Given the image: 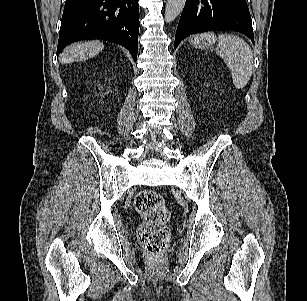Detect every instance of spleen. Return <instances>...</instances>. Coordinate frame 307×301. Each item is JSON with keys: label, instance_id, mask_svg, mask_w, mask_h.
<instances>
[{"label": "spleen", "instance_id": "spleen-1", "mask_svg": "<svg viewBox=\"0 0 307 301\" xmlns=\"http://www.w3.org/2000/svg\"><path fill=\"white\" fill-rule=\"evenodd\" d=\"M218 48L217 54L224 59L230 69L235 87L242 89L252 75L251 47L239 36L224 33L218 36Z\"/></svg>", "mask_w": 307, "mask_h": 301}]
</instances>
